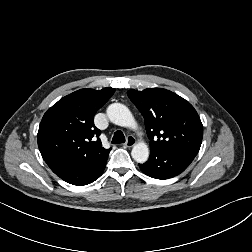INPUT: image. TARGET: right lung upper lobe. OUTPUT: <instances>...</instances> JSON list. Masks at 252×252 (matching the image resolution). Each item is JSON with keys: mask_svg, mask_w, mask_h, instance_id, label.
<instances>
[{"mask_svg": "<svg viewBox=\"0 0 252 252\" xmlns=\"http://www.w3.org/2000/svg\"><path fill=\"white\" fill-rule=\"evenodd\" d=\"M114 92L111 87L80 89L61 98L44 114L37 135L38 147L55 174L107 160L111 149L102 147L100 130L93 118Z\"/></svg>", "mask_w": 252, "mask_h": 252, "instance_id": "obj_1", "label": "right lung upper lobe"}]
</instances>
